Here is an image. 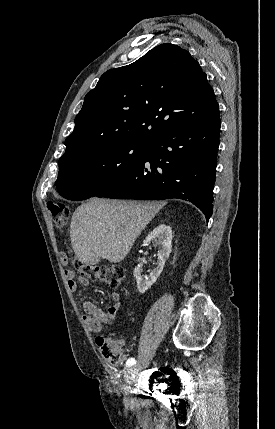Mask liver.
I'll list each match as a JSON object with an SVG mask.
<instances>
[{
    "mask_svg": "<svg viewBox=\"0 0 275 429\" xmlns=\"http://www.w3.org/2000/svg\"><path fill=\"white\" fill-rule=\"evenodd\" d=\"M161 202H136L91 198L73 213L72 248L82 263L103 258L122 261L136 238L162 208Z\"/></svg>",
    "mask_w": 275,
    "mask_h": 429,
    "instance_id": "liver-1",
    "label": "liver"
}]
</instances>
